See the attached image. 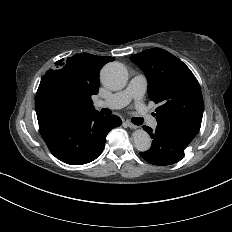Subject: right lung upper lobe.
Wrapping results in <instances>:
<instances>
[{
  "label": "right lung upper lobe",
  "instance_id": "obj_1",
  "mask_svg": "<svg viewBox=\"0 0 232 232\" xmlns=\"http://www.w3.org/2000/svg\"><path fill=\"white\" fill-rule=\"evenodd\" d=\"M111 61L113 57L89 53L57 61L55 68L48 70L41 79L36 93V113L51 109L95 110L91 96L98 93L99 71ZM58 85L67 89L65 96L56 93Z\"/></svg>",
  "mask_w": 232,
  "mask_h": 232
}]
</instances>
